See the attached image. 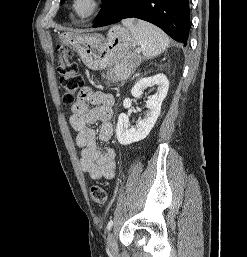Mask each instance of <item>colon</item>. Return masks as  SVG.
I'll use <instances>...</instances> for the list:
<instances>
[{
    "instance_id": "1",
    "label": "colon",
    "mask_w": 247,
    "mask_h": 257,
    "mask_svg": "<svg viewBox=\"0 0 247 257\" xmlns=\"http://www.w3.org/2000/svg\"><path fill=\"white\" fill-rule=\"evenodd\" d=\"M72 55L66 49H60L58 55L59 82L64 92L65 99H71L83 86V78L78 73L77 64L72 61ZM92 201L103 205L107 201V192L101 186H92L90 189Z\"/></svg>"
}]
</instances>
